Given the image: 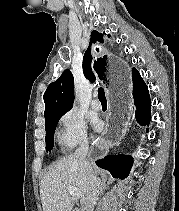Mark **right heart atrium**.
Here are the masks:
<instances>
[{"label":"right heart atrium","mask_w":179,"mask_h":211,"mask_svg":"<svg viewBox=\"0 0 179 211\" xmlns=\"http://www.w3.org/2000/svg\"><path fill=\"white\" fill-rule=\"evenodd\" d=\"M88 127L84 117L76 110L65 112L59 119L56 137L66 151L88 141Z\"/></svg>","instance_id":"obj_1"}]
</instances>
